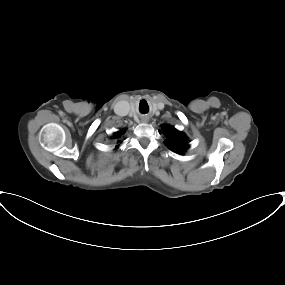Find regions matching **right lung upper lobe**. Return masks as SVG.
<instances>
[{"mask_svg":"<svg viewBox=\"0 0 285 285\" xmlns=\"http://www.w3.org/2000/svg\"><path fill=\"white\" fill-rule=\"evenodd\" d=\"M123 131H124V130H121V131H119V132L114 133V138H118L119 136H121L122 133H123ZM117 143H119V141H118Z\"/></svg>","mask_w":285,"mask_h":285,"instance_id":"1","label":"right lung upper lobe"}]
</instances>
